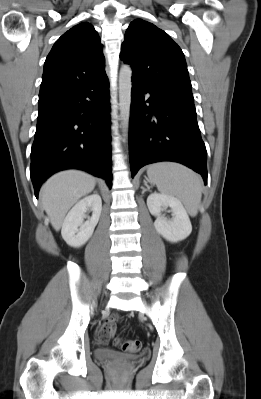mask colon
Here are the masks:
<instances>
[{
  "label": "colon",
  "mask_w": 261,
  "mask_h": 399,
  "mask_svg": "<svg viewBox=\"0 0 261 399\" xmlns=\"http://www.w3.org/2000/svg\"><path fill=\"white\" fill-rule=\"evenodd\" d=\"M115 340L117 343L121 345L124 351L129 353L139 352L142 348V342L138 339L121 340L116 337Z\"/></svg>",
  "instance_id": "1"
}]
</instances>
